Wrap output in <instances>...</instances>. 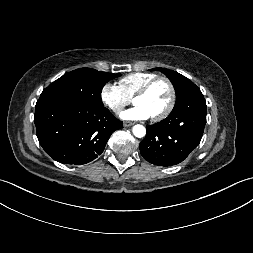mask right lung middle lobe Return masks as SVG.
Segmentation results:
<instances>
[{
	"mask_svg": "<svg viewBox=\"0 0 253 253\" xmlns=\"http://www.w3.org/2000/svg\"><path fill=\"white\" fill-rule=\"evenodd\" d=\"M121 74H110L91 68H80L66 73L46 89L40 97L61 98L91 106H104L101 92L104 85Z\"/></svg>",
	"mask_w": 253,
	"mask_h": 253,
	"instance_id": "obj_1",
	"label": "right lung middle lobe"
}]
</instances>
